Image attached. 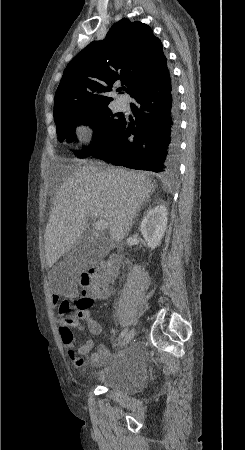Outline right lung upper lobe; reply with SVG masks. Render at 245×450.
Wrapping results in <instances>:
<instances>
[{
	"label": "right lung upper lobe",
	"instance_id": "right-lung-upper-lobe-1",
	"mask_svg": "<svg viewBox=\"0 0 245 450\" xmlns=\"http://www.w3.org/2000/svg\"><path fill=\"white\" fill-rule=\"evenodd\" d=\"M166 67L161 41L151 28L122 19L104 41L92 42L70 61L56 90L54 108L108 105L113 98L106 93L113 85L124 84L132 96Z\"/></svg>",
	"mask_w": 245,
	"mask_h": 450
}]
</instances>
